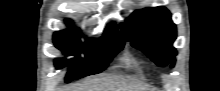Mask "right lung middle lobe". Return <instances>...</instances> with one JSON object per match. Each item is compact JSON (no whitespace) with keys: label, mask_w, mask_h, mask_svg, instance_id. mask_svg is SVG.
<instances>
[{"label":"right lung middle lobe","mask_w":220,"mask_h":91,"mask_svg":"<svg viewBox=\"0 0 220 91\" xmlns=\"http://www.w3.org/2000/svg\"><path fill=\"white\" fill-rule=\"evenodd\" d=\"M53 39L55 46L66 54L85 52V58L71 62V68L65 77L66 83L100 73L124 46V39L116 32H105L92 46L82 44L80 31L76 28L58 31ZM65 62V59H57L55 66L61 67Z\"/></svg>","instance_id":"dd1d6c3e"}]
</instances>
